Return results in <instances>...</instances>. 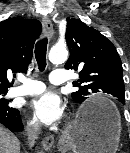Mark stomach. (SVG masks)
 Returning a JSON list of instances; mask_svg holds the SVG:
<instances>
[{
	"label": "stomach",
	"mask_w": 130,
	"mask_h": 153,
	"mask_svg": "<svg viewBox=\"0 0 130 153\" xmlns=\"http://www.w3.org/2000/svg\"><path fill=\"white\" fill-rule=\"evenodd\" d=\"M86 108H108L89 120L82 117ZM121 117L111 101L92 99L62 134L59 147L74 153H116L121 134Z\"/></svg>",
	"instance_id": "0dacf381"
}]
</instances>
